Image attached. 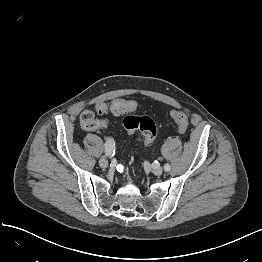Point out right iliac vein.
<instances>
[{
  "instance_id": "63e3f726",
  "label": "right iliac vein",
  "mask_w": 262,
  "mask_h": 262,
  "mask_svg": "<svg viewBox=\"0 0 262 262\" xmlns=\"http://www.w3.org/2000/svg\"><path fill=\"white\" fill-rule=\"evenodd\" d=\"M99 165L102 167V168H106L108 167L109 165V162L106 158L102 157L100 160H99Z\"/></svg>"
}]
</instances>
